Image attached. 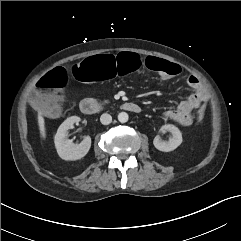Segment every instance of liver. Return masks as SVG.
I'll list each match as a JSON object with an SVG mask.
<instances>
[{
    "label": "liver",
    "mask_w": 241,
    "mask_h": 241,
    "mask_svg": "<svg viewBox=\"0 0 241 241\" xmlns=\"http://www.w3.org/2000/svg\"><path fill=\"white\" fill-rule=\"evenodd\" d=\"M38 125H39L41 138L45 139L46 138L45 121L43 116L40 113L38 114Z\"/></svg>",
    "instance_id": "6515ba94"
}]
</instances>
